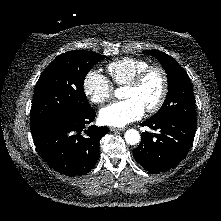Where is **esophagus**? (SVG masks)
<instances>
[{"mask_svg":"<svg viewBox=\"0 0 221 221\" xmlns=\"http://www.w3.org/2000/svg\"><path fill=\"white\" fill-rule=\"evenodd\" d=\"M111 131H124V128L110 127Z\"/></svg>","mask_w":221,"mask_h":221,"instance_id":"34e87169","label":"esophagus"}]
</instances>
